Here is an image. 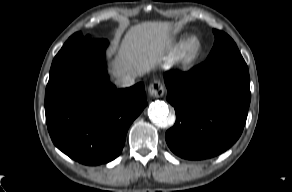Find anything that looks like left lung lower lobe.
Wrapping results in <instances>:
<instances>
[{"instance_id":"obj_1","label":"left lung lower lobe","mask_w":292,"mask_h":192,"mask_svg":"<svg viewBox=\"0 0 292 192\" xmlns=\"http://www.w3.org/2000/svg\"><path fill=\"white\" fill-rule=\"evenodd\" d=\"M164 79L167 100L176 111V123L165 137L176 155L207 159L237 141L250 104L249 72L242 57H220L189 72H166Z\"/></svg>"}]
</instances>
